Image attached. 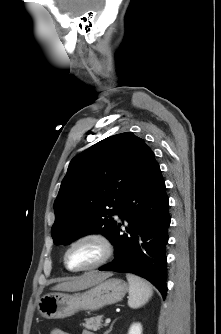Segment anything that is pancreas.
<instances>
[{
	"instance_id": "cf45deb5",
	"label": "pancreas",
	"mask_w": 221,
	"mask_h": 334,
	"mask_svg": "<svg viewBox=\"0 0 221 334\" xmlns=\"http://www.w3.org/2000/svg\"><path fill=\"white\" fill-rule=\"evenodd\" d=\"M102 315H98L91 318H86L85 323H82V326L86 329L97 331L103 326H106V324H102Z\"/></svg>"
}]
</instances>
